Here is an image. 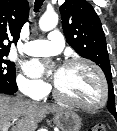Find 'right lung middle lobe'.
<instances>
[{"instance_id": "dd1d6c3e", "label": "right lung middle lobe", "mask_w": 117, "mask_h": 131, "mask_svg": "<svg viewBox=\"0 0 117 131\" xmlns=\"http://www.w3.org/2000/svg\"><path fill=\"white\" fill-rule=\"evenodd\" d=\"M8 52H0V88L10 92H16L18 87L15 80V64L3 57Z\"/></svg>"}]
</instances>
